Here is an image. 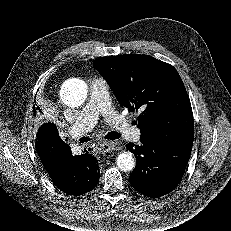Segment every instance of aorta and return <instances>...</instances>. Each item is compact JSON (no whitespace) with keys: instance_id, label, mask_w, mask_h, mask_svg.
Listing matches in <instances>:
<instances>
[{"instance_id":"1","label":"aorta","mask_w":231,"mask_h":231,"mask_svg":"<svg viewBox=\"0 0 231 231\" xmlns=\"http://www.w3.org/2000/svg\"><path fill=\"white\" fill-rule=\"evenodd\" d=\"M87 93V86L82 80L69 79L61 87L60 98L66 106L74 108L84 103ZM116 163L121 171L128 172L135 168L136 161L131 152L125 151L118 155Z\"/></svg>"}]
</instances>
